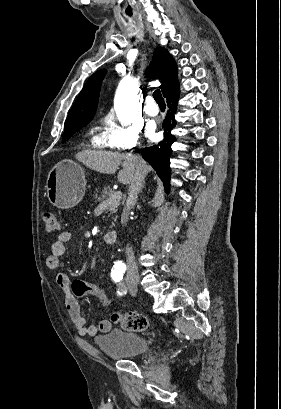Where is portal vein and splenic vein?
I'll list each match as a JSON object with an SVG mask.
<instances>
[{
	"label": "portal vein and splenic vein",
	"mask_w": 281,
	"mask_h": 409,
	"mask_svg": "<svg viewBox=\"0 0 281 409\" xmlns=\"http://www.w3.org/2000/svg\"><path fill=\"white\" fill-rule=\"evenodd\" d=\"M120 193V192H119ZM123 201V198L122 197H119V196H110L109 198H108V201H105L104 202V204H102L101 205V208L102 209H105L106 208V206H108V207H118L119 206V202H122Z\"/></svg>",
	"instance_id": "1"
}]
</instances>
